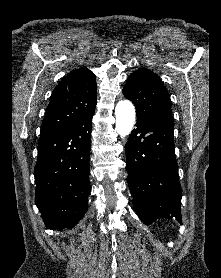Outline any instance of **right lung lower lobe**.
<instances>
[{
	"mask_svg": "<svg viewBox=\"0 0 221 278\" xmlns=\"http://www.w3.org/2000/svg\"><path fill=\"white\" fill-rule=\"evenodd\" d=\"M93 115L39 143L35 203L48 229H70L86 212Z\"/></svg>",
	"mask_w": 221,
	"mask_h": 278,
	"instance_id": "1",
	"label": "right lung lower lobe"
}]
</instances>
